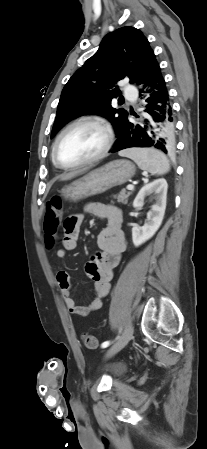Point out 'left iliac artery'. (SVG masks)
I'll use <instances>...</instances> for the list:
<instances>
[{"mask_svg":"<svg viewBox=\"0 0 207 449\" xmlns=\"http://www.w3.org/2000/svg\"><path fill=\"white\" fill-rule=\"evenodd\" d=\"M110 344H111L110 341H105V342L102 343L101 347H102V348H106V347H108Z\"/></svg>","mask_w":207,"mask_h":449,"instance_id":"44dca946","label":"left iliac artery"}]
</instances>
